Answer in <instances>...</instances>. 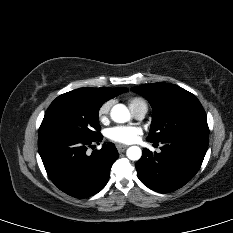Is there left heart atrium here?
<instances>
[{"mask_svg": "<svg viewBox=\"0 0 233 233\" xmlns=\"http://www.w3.org/2000/svg\"><path fill=\"white\" fill-rule=\"evenodd\" d=\"M141 134V129L134 126H117L109 129L108 136L112 141L130 144Z\"/></svg>", "mask_w": 233, "mask_h": 233, "instance_id": "39dd6f15", "label": "left heart atrium"}]
</instances>
